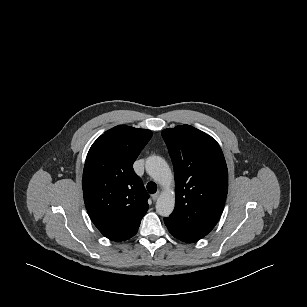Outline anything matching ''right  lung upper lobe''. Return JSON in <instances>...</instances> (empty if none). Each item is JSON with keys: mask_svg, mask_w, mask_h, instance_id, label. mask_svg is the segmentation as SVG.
<instances>
[{"mask_svg": "<svg viewBox=\"0 0 307 307\" xmlns=\"http://www.w3.org/2000/svg\"><path fill=\"white\" fill-rule=\"evenodd\" d=\"M146 129L116 126L91 146L83 171V196L88 214L108 239L133 237L148 210V193L133 163L152 137Z\"/></svg>", "mask_w": 307, "mask_h": 307, "instance_id": "cb5924a9", "label": "right lung upper lobe"}]
</instances>
